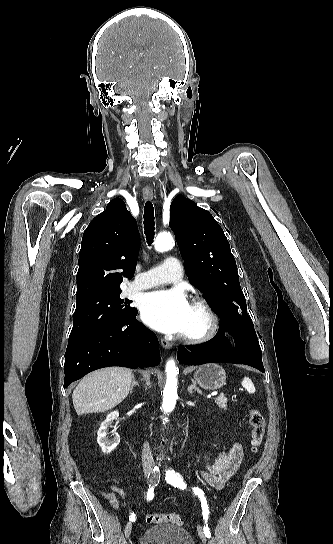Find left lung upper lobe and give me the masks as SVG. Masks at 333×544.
<instances>
[{"instance_id": "5c2ea615", "label": "left lung upper lobe", "mask_w": 333, "mask_h": 544, "mask_svg": "<svg viewBox=\"0 0 333 544\" xmlns=\"http://www.w3.org/2000/svg\"><path fill=\"white\" fill-rule=\"evenodd\" d=\"M170 227L187 264L189 281L216 306L226 321L222 325L249 322L234 256L213 216L179 195L171 203Z\"/></svg>"}]
</instances>
